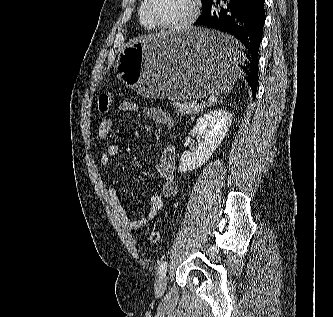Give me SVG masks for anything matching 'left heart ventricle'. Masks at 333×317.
<instances>
[{
  "mask_svg": "<svg viewBox=\"0 0 333 317\" xmlns=\"http://www.w3.org/2000/svg\"><path fill=\"white\" fill-rule=\"evenodd\" d=\"M189 0H150L149 15L160 23H177L189 13Z\"/></svg>",
  "mask_w": 333,
  "mask_h": 317,
  "instance_id": "1",
  "label": "left heart ventricle"
}]
</instances>
